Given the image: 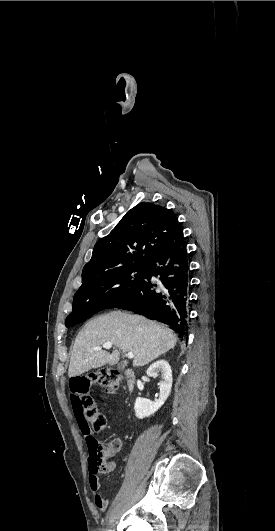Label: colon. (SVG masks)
<instances>
[{"instance_id": "5ec220e1", "label": "colon", "mask_w": 275, "mask_h": 531, "mask_svg": "<svg viewBox=\"0 0 275 531\" xmlns=\"http://www.w3.org/2000/svg\"><path fill=\"white\" fill-rule=\"evenodd\" d=\"M90 377H75L72 379V389L74 392H78V396H83V420L86 423L91 422L92 428L95 432L100 429L101 425L108 424V419L105 414L96 408L93 401L95 396L92 394V380L98 382L104 388H115L121 382V377L115 371H111L106 368H102L97 372H91ZM93 406V407H92ZM108 427H105L107 430ZM119 451V441L111 440L104 444L102 455L97 470L105 469V472H109L110 469L115 466L114 456Z\"/></svg>"}]
</instances>
